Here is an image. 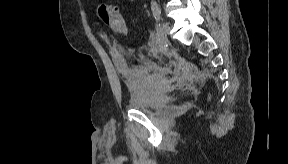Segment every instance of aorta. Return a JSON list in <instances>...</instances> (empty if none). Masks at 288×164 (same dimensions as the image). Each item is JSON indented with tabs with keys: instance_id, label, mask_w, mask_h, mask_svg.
<instances>
[{
	"instance_id": "aorta-1",
	"label": "aorta",
	"mask_w": 288,
	"mask_h": 164,
	"mask_svg": "<svg viewBox=\"0 0 288 164\" xmlns=\"http://www.w3.org/2000/svg\"><path fill=\"white\" fill-rule=\"evenodd\" d=\"M152 8H157L156 2H152Z\"/></svg>"
}]
</instances>
